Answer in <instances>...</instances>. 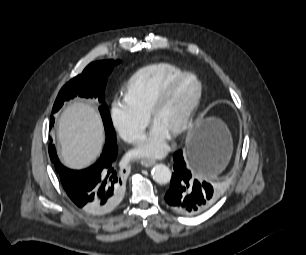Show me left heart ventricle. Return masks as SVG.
Instances as JSON below:
<instances>
[{
  "instance_id": "left-heart-ventricle-1",
  "label": "left heart ventricle",
  "mask_w": 306,
  "mask_h": 255,
  "mask_svg": "<svg viewBox=\"0 0 306 255\" xmlns=\"http://www.w3.org/2000/svg\"><path fill=\"white\" fill-rule=\"evenodd\" d=\"M196 93V82L193 79L184 81L158 112L154 124L171 133L184 118Z\"/></svg>"
}]
</instances>
